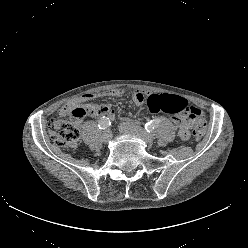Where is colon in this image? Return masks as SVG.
I'll return each instance as SVG.
<instances>
[{
    "label": "colon",
    "mask_w": 248,
    "mask_h": 248,
    "mask_svg": "<svg viewBox=\"0 0 248 248\" xmlns=\"http://www.w3.org/2000/svg\"><path fill=\"white\" fill-rule=\"evenodd\" d=\"M148 109L153 112H164L168 114H186L195 121L192 135L195 140H200L205 132L206 119L203 112L181 97L170 94H153L147 98ZM88 113L86 106H77L71 116L74 121L55 119L48 124V133L52 141L61 148H75L78 145L80 132L77 120L82 119Z\"/></svg>",
    "instance_id": "obj_1"
}]
</instances>
